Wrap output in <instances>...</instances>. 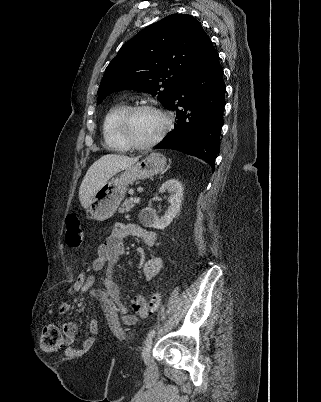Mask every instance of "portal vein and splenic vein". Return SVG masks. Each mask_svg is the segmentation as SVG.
Returning <instances> with one entry per match:
<instances>
[{"mask_svg": "<svg viewBox=\"0 0 321 402\" xmlns=\"http://www.w3.org/2000/svg\"><path fill=\"white\" fill-rule=\"evenodd\" d=\"M133 200H134L135 203H138V202L140 201V198H139V197H135Z\"/></svg>", "mask_w": 321, "mask_h": 402, "instance_id": "obj_1", "label": "portal vein and splenic vein"}]
</instances>
